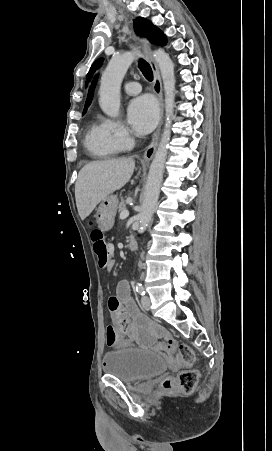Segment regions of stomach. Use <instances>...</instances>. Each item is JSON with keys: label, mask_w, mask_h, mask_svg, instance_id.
<instances>
[{"label": "stomach", "mask_w": 272, "mask_h": 451, "mask_svg": "<svg viewBox=\"0 0 272 451\" xmlns=\"http://www.w3.org/2000/svg\"><path fill=\"white\" fill-rule=\"evenodd\" d=\"M118 208V198L116 196H106L102 200L96 212V222L101 231H108L114 226V218Z\"/></svg>", "instance_id": "stomach-1"}]
</instances>
